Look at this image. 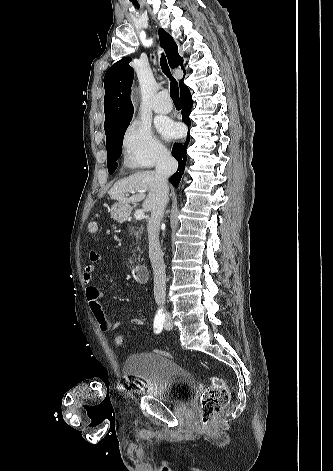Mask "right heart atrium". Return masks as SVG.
I'll return each instance as SVG.
<instances>
[{
  "instance_id": "1",
  "label": "right heart atrium",
  "mask_w": 333,
  "mask_h": 471,
  "mask_svg": "<svg viewBox=\"0 0 333 471\" xmlns=\"http://www.w3.org/2000/svg\"><path fill=\"white\" fill-rule=\"evenodd\" d=\"M121 147L124 163L131 168H150L168 157L166 147L150 126L138 120L131 121L125 128Z\"/></svg>"
}]
</instances>
